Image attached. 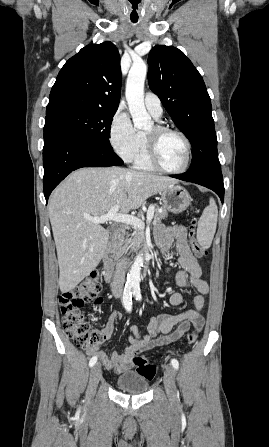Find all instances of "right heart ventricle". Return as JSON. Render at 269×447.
Masks as SVG:
<instances>
[{
  "label": "right heart ventricle",
  "mask_w": 269,
  "mask_h": 447,
  "mask_svg": "<svg viewBox=\"0 0 269 447\" xmlns=\"http://www.w3.org/2000/svg\"><path fill=\"white\" fill-rule=\"evenodd\" d=\"M135 167L140 169H153L154 167L149 163L147 159L145 135L138 133V147L137 151L132 159Z\"/></svg>",
  "instance_id": "1"
}]
</instances>
